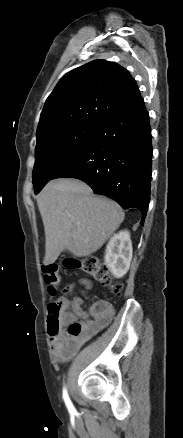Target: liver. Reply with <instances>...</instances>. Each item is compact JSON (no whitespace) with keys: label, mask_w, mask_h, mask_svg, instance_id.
<instances>
[{"label":"liver","mask_w":183,"mask_h":438,"mask_svg":"<svg viewBox=\"0 0 183 438\" xmlns=\"http://www.w3.org/2000/svg\"><path fill=\"white\" fill-rule=\"evenodd\" d=\"M37 204L45 230V265L55 262L65 250L75 257L91 255L125 217L116 202L94 196L86 183L72 178L49 182Z\"/></svg>","instance_id":"6515ba94"}]
</instances>
